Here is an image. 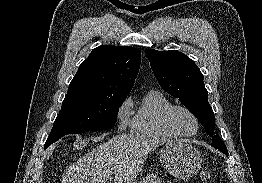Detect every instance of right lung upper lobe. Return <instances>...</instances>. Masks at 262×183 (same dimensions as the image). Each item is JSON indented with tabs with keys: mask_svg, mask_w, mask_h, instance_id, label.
<instances>
[{
	"mask_svg": "<svg viewBox=\"0 0 262 183\" xmlns=\"http://www.w3.org/2000/svg\"><path fill=\"white\" fill-rule=\"evenodd\" d=\"M140 62L141 52L137 48L99 46L79 66L67 94L126 98L137 77Z\"/></svg>",
	"mask_w": 262,
	"mask_h": 183,
	"instance_id": "1",
	"label": "right lung upper lobe"
}]
</instances>
